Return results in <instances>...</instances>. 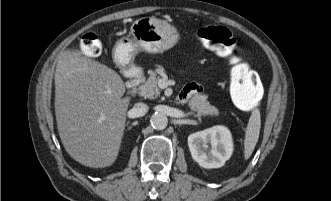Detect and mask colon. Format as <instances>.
I'll return each instance as SVG.
<instances>
[{"mask_svg":"<svg viewBox=\"0 0 331 201\" xmlns=\"http://www.w3.org/2000/svg\"><path fill=\"white\" fill-rule=\"evenodd\" d=\"M199 40L209 49L222 57H228L231 64L230 92L236 106L250 111L258 106L263 87L258 75L237 55L236 40L230 30L224 26H205L198 30ZM82 51L90 57L100 55L102 45L93 33L85 34L81 39Z\"/></svg>","mask_w":331,"mask_h":201,"instance_id":"1","label":"colon"}]
</instances>
